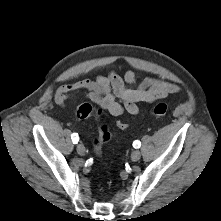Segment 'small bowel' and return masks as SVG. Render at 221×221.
<instances>
[{
  "mask_svg": "<svg viewBox=\"0 0 221 221\" xmlns=\"http://www.w3.org/2000/svg\"><path fill=\"white\" fill-rule=\"evenodd\" d=\"M178 91L177 85L153 77L137 83L133 70H127L123 76L111 71L108 75H97L94 80L83 79L61 85L54 99L57 105L64 107L72 94L82 92L112 116L124 113L136 115L140 111L138 103H152Z\"/></svg>",
  "mask_w": 221,
  "mask_h": 221,
  "instance_id": "1",
  "label": "small bowel"
}]
</instances>
